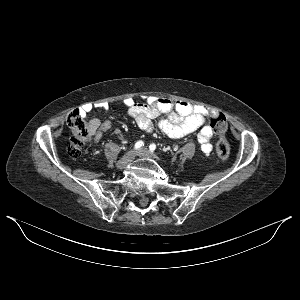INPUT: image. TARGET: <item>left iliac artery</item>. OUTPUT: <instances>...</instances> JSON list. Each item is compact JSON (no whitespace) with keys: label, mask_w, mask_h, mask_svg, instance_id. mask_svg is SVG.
<instances>
[{"label":"left iliac artery","mask_w":300,"mask_h":300,"mask_svg":"<svg viewBox=\"0 0 300 300\" xmlns=\"http://www.w3.org/2000/svg\"><path fill=\"white\" fill-rule=\"evenodd\" d=\"M155 149H156V145L155 144H151L150 146H149V150H150V152H154L155 151Z\"/></svg>","instance_id":"1"}]
</instances>
